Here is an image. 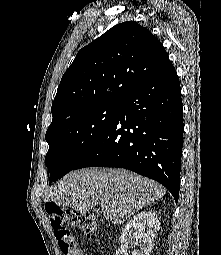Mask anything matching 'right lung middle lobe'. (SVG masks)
Segmentation results:
<instances>
[{"instance_id":"dd1d6c3e","label":"right lung middle lobe","mask_w":221,"mask_h":255,"mask_svg":"<svg viewBox=\"0 0 221 255\" xmlns=\"http://www.w3.org/2000/svg\"><path fill=\"white\" fill-rule=\"evenodd\" d=\"M120 103H104L79 110L46 132L45 163L49 184L73 170L112 123Z\"/></svg>"}]
</instances>
